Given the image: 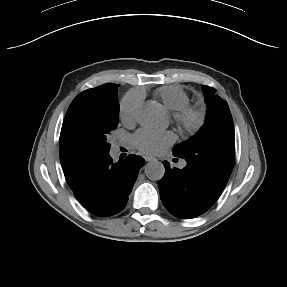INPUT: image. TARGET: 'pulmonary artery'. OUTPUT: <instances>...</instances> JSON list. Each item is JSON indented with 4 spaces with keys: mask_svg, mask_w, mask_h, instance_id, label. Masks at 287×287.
Listing matches in <instances>:
<instances>
[{
    "mask_svg": "<svg viewBox=\"0 0 287 287\" xmlns=\"http://www.w3.org/2000/svg\"><path fill=\"white\" fill-rule=\"evenodd\" d=\"M179 166H180V167L186 166V162H185V161L181 162Z\"/></svg>",
    "mask_w": 287,
    "mask_h": 287,
    "instance_id": "pulmonary-artery-1",
    "label": "pulmonary artery"
}]
</instances>
